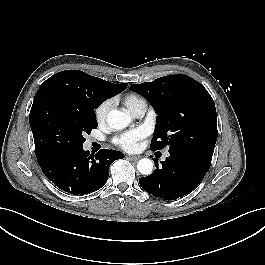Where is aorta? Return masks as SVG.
<instances>
[{
	"label": "aorta",
	"mask_w": 265,
	"mask_h": 265,
	"mask_svg": "<svg viewBox=\"0 0 265 265\" xmlns=\"http://www.w3.org/2000/svg\"><path fill=\"white\" fill-rule=\"evenodd\" d=\"M107 122L111 128L121 130L130 124L131 117L129 113L112 110L108 114ZM137 169L143 175H150L153 171V162L148 158L140 159L137 163Z\"/></svg>",
	"instance_id": "aorta-1"
}]
</instances>
